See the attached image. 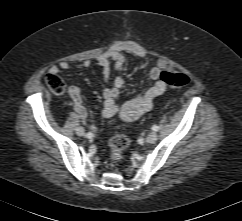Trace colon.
I'll return each mask as SVG.
<instances>
[{
    "instance_id": "colon-1",
    "label": "colon",
    "mask_w": 242,
    "mask_h": 221,
    "mask_svg": "<svg viewBox=\"0 0 242 221\" xmlns=\"http://www.w3.org/2000/svg\"><path fill=\"white\" fill-rule=\"evenodd\" d=\"M160 80L165 84L180 88L185 87L190 82V77L184 73L163 71ZM48 88L56 95H61L65 91V83L57 73H49L46 76ZM131 139L125 134H116L110 141V161L114 165H119L124 161V151L130 146Z\"/></svg>"
}]
</instances>
